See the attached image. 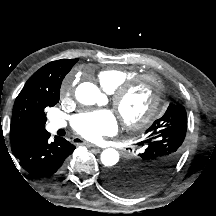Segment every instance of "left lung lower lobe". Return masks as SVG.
Instances as JSON below:
<instances>
[{
	"mask_svg": "<svg viewBox=\"0 0 216 216\" xmlns=\"http://www.w3.org/2000/svg\"><path fill=\"white\" fill-rule=\"evenodd\" d=\"M128 172V168L126 166V162L120 166L117 170H111L107 172L103 178L104 183L115 193L122 195V196H127L124 192H122L114 182L119 180L122 175L126 174Z\"/></svg>",
	"mask_w": 216,
	"mask_h": 216,
	"instance_id": "0a47b994",
	"label": "left lung lower lobe"
}]
</instances>
